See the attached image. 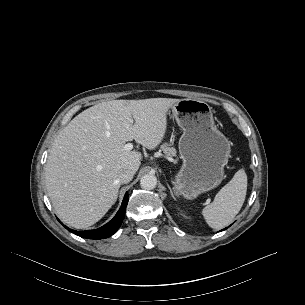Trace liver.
I'll return each instance as SVG.
<instances>
[{
  "mask_svg": "<svg viewBox=\"0 0 305 305\" xmlns=\"http://www.w3.org/2000/svg\"><path fill=\"white\" fill-rule=\"evenodd\" d=\"M178 101L102 102L78 114L60 131L46 162L45 183L65 224L83 229L106 214L117 199L119 171L136 172L141 165L142 154L125 151V143L135 140L155 149L166 133L167 112Z\"/></svg>",
  "mask_w": 305,
  "mask_h": 305,
  "instance_id": "6515ba94",
  "label": "liver"
}]
</instances>
